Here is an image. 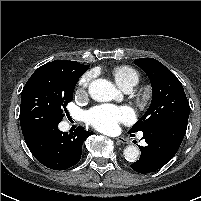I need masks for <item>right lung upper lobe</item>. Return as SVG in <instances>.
<instances>
[{"label": "right lung upper lobe", "mask_w": 201, "mask_h": 201, "mask_svg": "<svg viewBox=\"0 0 201 201\" xmlns=\"http://www.w3.org/2000/svg\"><path fill=\"white\" fill-rule=\"evenodd\" d=\"M56 61H65V60H56Z\"/></svg>", "instance_id": "1"}]
</instances>
